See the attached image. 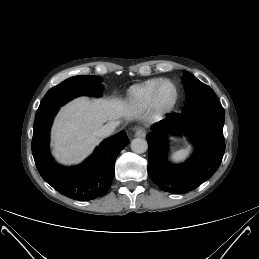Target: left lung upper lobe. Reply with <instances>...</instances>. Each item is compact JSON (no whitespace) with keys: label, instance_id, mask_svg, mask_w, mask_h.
<instances>
[{"label":"left lung upper lobe","instance_id":"left-lung-upper-lobe-1","mask_svg":"<svg viewBox=\"0 0 259 259\" xmlns=\"http://www.w3.org/2000/svg\"><path fill=\"white\" fill-rule=\"evenodd\" d=\"M182 82L186 92V102L181 113L221 105L214 95V91L199 81L193 74L185 71L183 73Z\"/></svg>","mask_w":259,"mask_h":259}]
</instances>
